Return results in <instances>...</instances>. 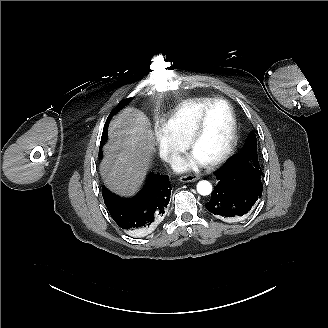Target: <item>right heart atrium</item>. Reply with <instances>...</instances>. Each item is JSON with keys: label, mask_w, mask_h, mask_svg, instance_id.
<instances>
[{"label": "right heart atrium", "mask_w": 328, "mask_h": 328, "mask_svg": "<svg viewBox=\"0 0 328 328\" xmlns=\"http://www.w3.org/2000/svg\"><path fill=\"white\" fill-rule=\"evenodd\" d=\"M148 134L159 156L168 164L177 161L186 149L184 144L172 140L158 123L149 128Z\"/></svg>", "instance_id": "obj_1"}]
</instances>
